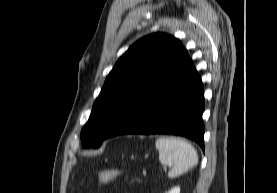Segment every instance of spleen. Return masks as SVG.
Wrapping results in <instances>:
<instances>
[{
    "instance_id": "1",
    "label": "spleen",
    "mask_w": 277,
    "mask_h": 193,
    "mask_svg": "<svg viewBox=\"0 0 277 193\" xmlns=\"http://www.w3.org/2000/svg\"><path fill=\"white\" fill-rule=\"evenodd\" d=\"M155 146L159 151L161 164H174L168 173L169 178L184 174L198 162V154L194 147L181 138L161 137L156 140Z\"/></svg>"
}]
</instances>
